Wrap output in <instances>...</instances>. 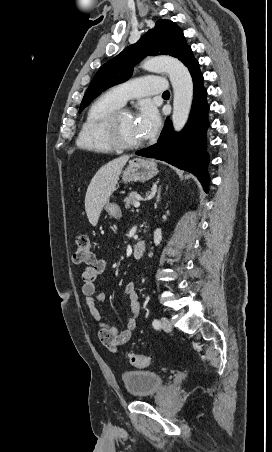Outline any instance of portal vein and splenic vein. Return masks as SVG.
I'll list each match as a JSON object with an SVG mask.
<instances>
[{
  "instance_id": "obj_1",
  "label": "portal vein and splenic vein",
  "mask_w": 272,
  "mask_h": 452,
  "mask_svg": "<svg viewBox=\"0 0 272 452\" xmlns=\"http://www.w3.org/2000/svg\"><path fill=\"white\" fill-rule=\"evenodd\" d=\"M140 206V202L139 201H136L135 203H134V207L135 208H138Z\"/></svg>"
}]
</instances>
